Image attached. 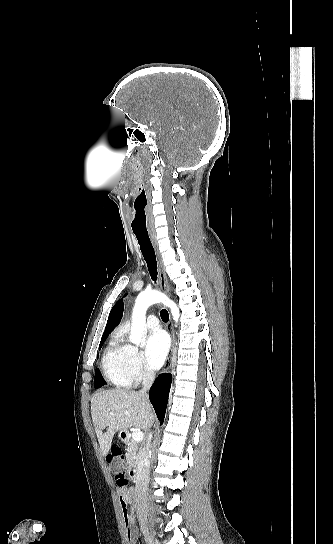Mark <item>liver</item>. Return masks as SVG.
<instances>
[{
  "instance_id": "1",
  "label": "liver",
  "mask_w": 333,
  "mask_h": 544,
  "mask_svg": "<svg viewBox=\"0 0 333 544\" xmlns=\"http://www.w3.org/2000/svg\"><path fill=\"white\" fill-rule=\"evenodd\" d=\"M91 415L103 456L109 453L117 431H125L131 426L147 429L155 420L147 396L126 389L105 390L95 394L91 399ZM106 427L107 431L103 433Z\"/></svg>"
}]
</instances>
